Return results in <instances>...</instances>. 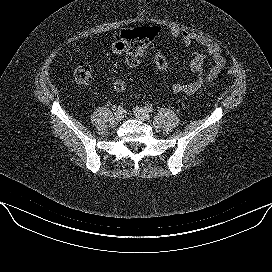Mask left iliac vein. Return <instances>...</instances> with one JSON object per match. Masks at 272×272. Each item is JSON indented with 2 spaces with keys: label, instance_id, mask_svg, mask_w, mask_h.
Here are the masks:
<instances>
[{
  "label": "left iliac vein",
  "instance_id": "obj_1",
  "mask_svg": "<svg viewBox=\"0 0 272 272\" xmlns=\"http://www.w3.org/2000/svg\"><path fill=\"white\" fill-rule=\"evenodd\" d=\"M133 112L138 120L147 121L150 118L148 112L141 107H135Z\"/></svg>",
  "mask_w": 272,
  "mask_h": 272
}]
</instances>
